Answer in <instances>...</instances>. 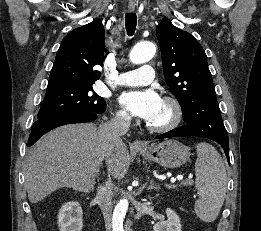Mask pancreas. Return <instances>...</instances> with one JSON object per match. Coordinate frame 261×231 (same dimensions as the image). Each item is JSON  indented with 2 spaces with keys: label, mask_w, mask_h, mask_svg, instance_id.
<instances>
[{
  "label": "pancreas",
  "mask_w": 261,
  "mask_h": 231,
  "mask_svg": "<svg viewBox=\"0 0 261 231\" xmlns=\"http://www.w3.org/2000/svg\"><path fill=\"white\" fill-rule=\"evenodd\" d=\"M187 185H188V184H187ZM166 187L169 188V189L175 188V186H170V185H167Z\"/></svg>",
  "instance_id": "1"
}]
</instances>
